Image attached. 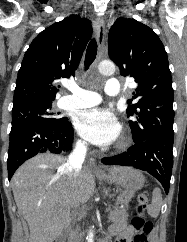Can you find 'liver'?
<instances>
[{
	"label": "liver",
	"mask_w": 187,
	"mask_h": 242,
	"mask_svg": "<svg viewBox=\"0 0 187 242\" xmlns=\"http://www.w3.org/2000/svg\"><path fill=\"white\" fill-rule=\"evenodd\" d=\"M126 167H112L116 177ZM93 172L84 167L73 178L67 174L66 159L38 154L13 175L11 186L18 210L30 229L29 242H53L71 222V208L86 203L95 189Z\"/></svg>",
	"instance_id": "6515ba94"
}]
</instances>
